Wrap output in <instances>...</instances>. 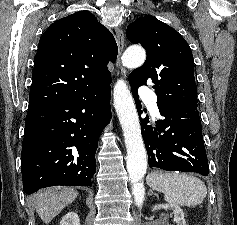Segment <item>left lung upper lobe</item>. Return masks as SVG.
Returning <instances> with one entry per match:
<instances>
[{"mask_svg":"<svg viewBox=\"0 0 237 225\" xmlns=\"http://www.w3.org/2000/svg\"><path fill=\"white\" fill-rule=\"evenodd\" d=\"M126 33L147 52L145 63L129 75L131 87L138 88L148 80L160 104L197 103L192 52L176 30L146 15L129 24Z\"/></svg>","mask_w":237,"mask_h":225,"instance_id":"left-lung-upper-lobe-1","label":"left lung upper lobe"}]
</instances>
